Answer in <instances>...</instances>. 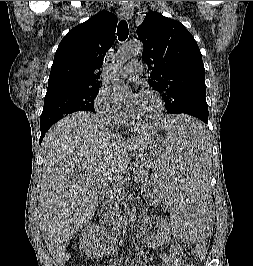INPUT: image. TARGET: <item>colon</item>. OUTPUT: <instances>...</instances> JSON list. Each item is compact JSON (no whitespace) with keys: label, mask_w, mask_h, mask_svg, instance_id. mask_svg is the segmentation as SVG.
I'll return each instance as SVG.
<instances>
[{"label":"colon","mask_w":253,"mask_h":266,"mask_svg":"<svg viewBox=\"0 0 253 266\" xmlns=\"http://www.w3.org/2000/svg\"><path fill=\"white\" fill-rule=\"evenodd\" d=\"M208 242H202V248H192V256L196 259H202L207 253L208 250ZM188 266H194L192 264H188Z\"/></svg>","instance_id":"1"}]
</instances>
